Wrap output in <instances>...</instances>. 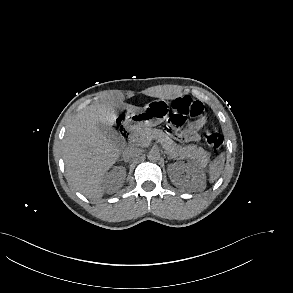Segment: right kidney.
I'll use <instances>...</instances> for the list:
<instances>
[{
	"instance_id": "1",
	"label": "right kidney",
	"mask_w": 293,
	"mask_h": 293,
	"mask_svg": "<svg viewBox=\"0 0 293 293\" xmlns=\"http://www.w3.org/2000/svg\"><path fill=\"white\" fill-rule=\"evenodd\" d=\"M126 177V171L124 168L122 167H115L113 168L112 171H110L109 173H106L103 176V182H111V181H120V183L122 184L125 180Z\"/></svg>"
}]
</instances>
